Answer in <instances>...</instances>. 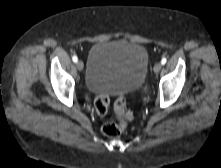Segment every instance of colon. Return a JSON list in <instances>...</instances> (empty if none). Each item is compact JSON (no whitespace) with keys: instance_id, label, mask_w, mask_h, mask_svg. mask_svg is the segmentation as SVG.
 I'll return each mask as SVG.
<instances>
[{"instance_id":"obj_1","label":"colon","mask_w":221,"mask_h":168,"mask_svg":"<svg viewBox=\"0 0 221 168\" xmlns=\"http://www.w3.org/2000/svg\"><path fill=\"white\" fill-rule=\"evenodd\" d=\"M110 100L106 95L98 96L95 99V110L99 115H105L108 110ZM114 115L116 122H107L102 127V132L105 136L115 138L118 137L126 128L127 123L132 120L133 113L126 108L124 97L120 96L114 103Z\"/></svg>"}]
</instances>
